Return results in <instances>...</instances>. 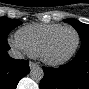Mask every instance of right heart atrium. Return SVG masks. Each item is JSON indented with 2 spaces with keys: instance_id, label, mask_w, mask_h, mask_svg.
I'll return each instance as SVG.
<instances>
[{
  "instance_id": "1",
  "label": "right heart atrium",
  "mask_w": 89,
  "mask_h": 89,
  "mask_svg": "<svg viewBox=\"0 0 89 89\" xmlns=\"http://www.w3.org/2000/svg\"><path fill=\"white\" fill-rule=\"evenodd\" d=\"M9 43H10V45H11L13 48H15V49H17V50H20V51H25V49H24L22 43L19 41V39L17 38V36H11V37L9 38Z\"/></svg>"
}]
</instances>
